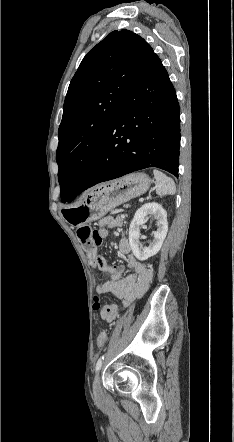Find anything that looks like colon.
I'll return each mask as SVG.
<instances>
[{
    "instance_id": "1",
    "label": "colon",
    "mask_w": 234,
    "mask_h": 442,
    "mask_svg": "<svg viewBox=\"0 0 234 442\" xmlns=\"http://www.w3.org/2000/svg\"><path fill=\"white\" fill-rule=\"evenodd\" d=\"M77 235L79 240L82 243L83 248L89 254L96 253L97 247L101 244L102 240L99 237L97 231L93 230L90 226L84 225L78 228ZM98 300H95L94 309H99ZM106 335L105 333H101L97 339L98 347H102L105 344Z\"/></svg>"
}]
</instances>
